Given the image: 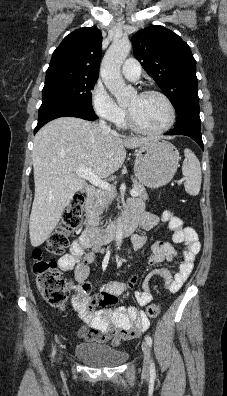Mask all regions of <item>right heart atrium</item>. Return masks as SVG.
<instances>
[{
  "label": "right heart atrium",
  "instance_id": "obj_1",
  "mask_svg": "<svg viewBox=\"0 0 227 396\" xmlns=\"http://www.w3.org/2000/svg\"><path fill=\"white\" fill-rule=\"evenodd\" d=\"M91 102L95 113L110 123L118 124L125 117V109L112 99L99 82L91 91Z\"/></svg>",
  "mask_w": 227,
  "mask_h": 396
}]
</instances>
